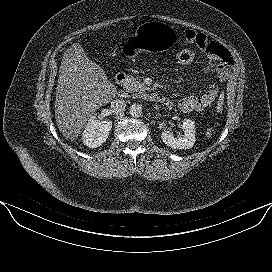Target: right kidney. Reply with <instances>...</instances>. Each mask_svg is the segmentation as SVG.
Masks as SVG:
<instances>
[{
	"instance_id": "right-kidney-1",
	"label": "right kidney",
	"mask_w": 272,
	"mask_h": 272,
	"mask_svg": "<svg viewBox=\"0 0 272 272\" xmlns=\"http://www.w3.org/2000/svg\"><path fill=\"white\" fill-rule=\"evenodd\" d=\"M112 128L110 120H96L92 116L83 131L82 141L89 148H97L101 146L108 138Z\"/></svg>"
}]
</instances>
